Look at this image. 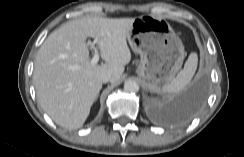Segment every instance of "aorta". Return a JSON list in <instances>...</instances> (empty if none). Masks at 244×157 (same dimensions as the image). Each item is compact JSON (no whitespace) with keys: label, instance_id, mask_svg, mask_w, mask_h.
<instances>
[{"label":"aorta","instance_id":"1","mask_svg":"<svg viewBox=\"0 0 244 157\" xmlns=\"http://www.w3.org/2000/svg\"><path fill=\"white\" fill-rule=\"evenodd\" d=\"M124 90L130 93H136L139 91V85L134 80H127L124 83Z\"/></svg>","mask_w":244,"mask_h":157}]
</instances>
